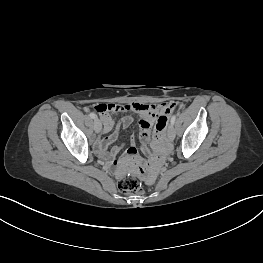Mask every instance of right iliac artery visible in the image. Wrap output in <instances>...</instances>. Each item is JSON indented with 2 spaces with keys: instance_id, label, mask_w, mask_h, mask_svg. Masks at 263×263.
Instances as JSON below:
<instances>
[{
  "instance_id": "obj_1",
  "label": "right iliac artery",
  "mask_w": 263,
  "mask_h": 263,
  "mask_svg": "<svg viewBox=\"0 0 263 263\" xmlns=\"http://www.w3.org/2000/svg\"><path fill=\"white\" fill-rule=\"evenodd\" d=\"M92 119H95L97 116L94 112H91L90 115H89Z\"/></svg>"
}]
</instances>
